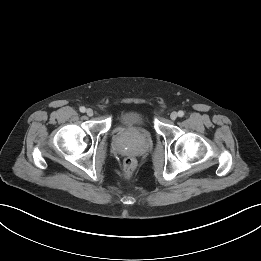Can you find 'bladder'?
<instances>
[{
  "label": "bladder",
  "instance_id": "bladder-1",
  "mask_svg": "<svg viewBox=\"0 0 261 261\" xmlns=\"http://www.w3.org/2000/svg\"><path fill=\"white\" fill-rule=\"evenodd\" d=\"M120 122L124 125H146L147 116L139 111H127L121 114Z\"/></svg>",
  "mask_w": 261,
  "mask_h": 261
}]
</instances>
